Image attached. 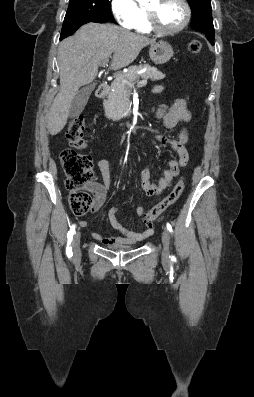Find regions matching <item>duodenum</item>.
Returning <instances> with one entry per match:
<instances>
[{"label":"duodenum","instance_id":"410a0bca","mask_svg":"<svg viewBox=\"0 0 254 397\" xmlns=\"http://www.w3.org/2000/svg\"><path fill=\"white\" fill-rule=\"evenodd\" d=\"M108 92V86L106 84H100L98 88L96 89V96L98 98H104L107 95ZM131 124H124L122 127L124 128H129Z\"/></svg>","mask_w":254,"mask_h":397}]
</instances>
